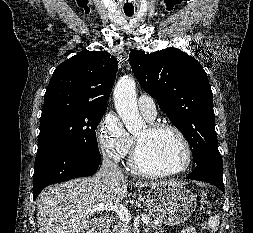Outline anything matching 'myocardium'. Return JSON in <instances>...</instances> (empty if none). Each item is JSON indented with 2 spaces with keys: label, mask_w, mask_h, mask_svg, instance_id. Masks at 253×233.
I'll list each match as a JSON object with an SVG mask.
<instances>
[{
  "label": "myocardium",
  "mask_w": 253,
  "mask_h": 233,
  "mask_svg": "<svg viewBox=\"0 0 253 233\" xmlns=\"http://www.w3.org/2000/svg\"><path fill=\"white\" fill-rule=\"evenodd\" d=\"M168 130L173 132L181 141L185 150V160L181 167L175 170H149L143 166L140 161V142L135 138L134 146L131 154V165L140 174L147 177H170L180 175L188 170L192 163L193 153L191 145L185 136V134L175 125L167 122H150L148 125V131L156 133L159 131Z\"/></svg>",
  "instance_id": "myocardium-1"
}]
</instances>
